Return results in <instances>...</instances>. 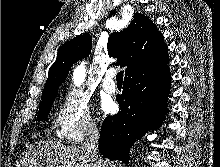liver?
Wrapping results in <instances>:
<instances>
[{
    "mask_svg": "<svg viewBox=\"0 0 220 167\" xmlns=\"http://www.w3.org/2000/svg\"><path fill=\"white\" fill-rule=\"evenodd\" d=\"M103 163L107 167L106 162ZM15 167H97V165L84 147L39 141L30 145Z\"/></svg>",
    "mask_w": 220,
    "mask_h": 167,
    "instance_id": "obj_1",
    "label": "liver"
}]
</instances>
